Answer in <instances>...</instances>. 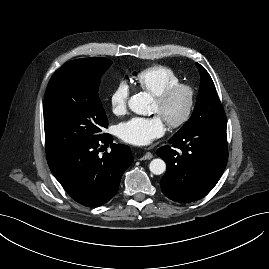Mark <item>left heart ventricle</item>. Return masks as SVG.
Returning a JSON list of instances; mask_svg holds the SVG:
<instances>
[{"instance_id":"1","label":"left heart ventricle","mask_w":269,"mask_h":269,"mask_svg":"<svg viewBox=\"0 0 269 269\" xmlns=\"http://www.w3.org/2000/svg\"><path fill=\"white\" fill-rule=\"evenodd\" d=\"M187 104V93L185 91L176 92L164 105L155 100L152 104V112L159 114L163 119H175L179 117Z\"/></svg>"}]
</instances>
